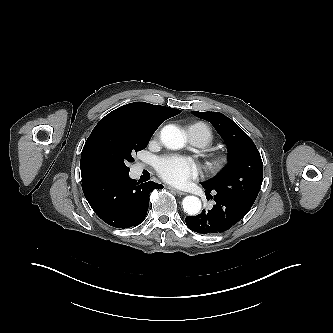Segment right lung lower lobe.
<instances>
[{
  "instance_id": "98d812e1",
  "label": "right lung lower lobe",
  "mask_w": 333,
  "mask_h": 333,
  "mask_svg": "<svg viewBox=\"0 0 333 333\" xmlns=\"http://www.w3.org/2000/svg\"><path fill=\"white\" fill-rule=\"evenodd\" d=\"M153 181L139 183L129 174L99 175L82 183L84 195L93 211L107 224L117 228L137 226L145 219L149 194L161 189Z\"/></svg>"
}]
</instances>
